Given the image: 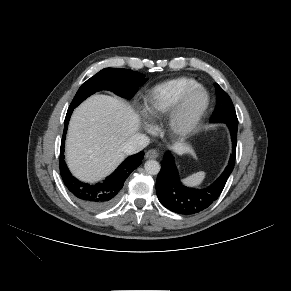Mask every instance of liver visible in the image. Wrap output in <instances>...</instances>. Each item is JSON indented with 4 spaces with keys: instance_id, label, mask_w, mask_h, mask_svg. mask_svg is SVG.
<instances>
[{
    "instance_id": "6515ba94",
    "label": "liver",
    "mask_w": 291,
    "mask_h": 291,
    "mask_svg": "<svg viewBox=\"0 0 291 291\" xmlns=\"http://www.w3.org/2000/svg\"><path fill=\"white\" fill-rule=\"evenodd\" d=\"M141 126L139 115L123 100L93 95L78 106L71 117L66 140V159L79 179L93 182L110 174L126 157L122 145ZM172 149L188 150L183 143Z\"/></svg>"
}]
</instances>
